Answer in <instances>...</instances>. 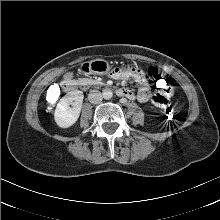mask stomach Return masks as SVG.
<instances>
[{
	"label": "stomach",
	"mask_w": 220,
	"mask_h": 220,
	"mask_svg": "<svg viewBox=\"0 0 220 220\" xmlns=\"http://www.w3.org/2000/svg\"><path fill=\"white\" fill-rule=\"evenodd\" d=\"M82 70L88 74L104 75L109 72L110 65L103 59H96L84 64Z\"/></svg>",
	"instance_id": "0dacf381"
}]
</instances>
